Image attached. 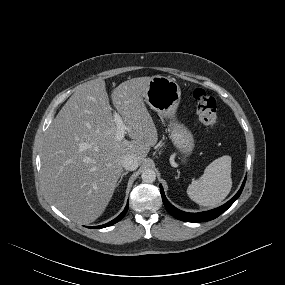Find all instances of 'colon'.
<instances>
[{"label": "colon", "mask_w": 285, "mask_h": 285, "mask_svg": "<svg viewBox=\"0 0 285 285\" xmlns=\"http://www.w3.org/2000/svg\"><path fill=\"white\" fill-rule=\"evenodd\" d=\"M195 110L199 121L210 128L218 125L217 103L214 97L204 89L197 88L192 94Z\"/></svg>", "instance_id": "obj_1"}]
</instances>
